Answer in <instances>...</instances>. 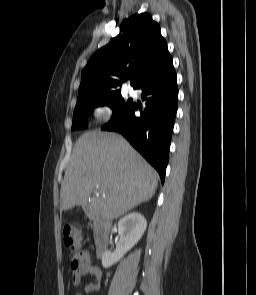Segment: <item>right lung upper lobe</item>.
<instances>
[{
  "mask_svg": "<svg viewBox=\"0 0 256 295\" xmlns=\"http://www.w3.org/2000/svg\"><path fill=\"white\" fill-rule=\"evenodd\" d=\"M121 33L92 55L81 74L78 99L106 98L121 94L125 75L136 88L146 74L170 58L159 25L148 13L122 22Z\"/></svg>",
  "mask_w": 256,
  "mask_h": 295,
  "instance_id": "cb5924a9",
  "label": "right lung upper lobe"
}]
</instances>
